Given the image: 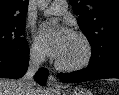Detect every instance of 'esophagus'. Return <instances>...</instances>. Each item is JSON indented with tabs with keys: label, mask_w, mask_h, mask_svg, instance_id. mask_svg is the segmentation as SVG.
<instances>
[{
	"label": "esophagus",
	"mask_w": 119,
	"mask_h": 95,
	"mask_svg": "<svg viewBox=\"0 0 119 95\" xmlns=\"http://www.w3.org/2000/svg\"><path fill=\"white\" fill-rule=\"evenodd\" d=\"M47 86L49 89L52 90L60 88V84L58 83L57 79L53 75H49Z\"/></svg>",
	"instance_id": "obj_1"
}]
</instances>
